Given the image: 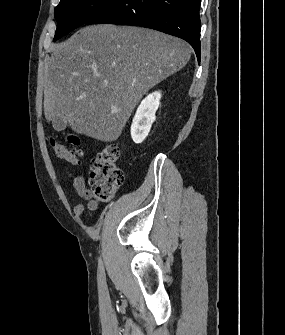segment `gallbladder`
<instances>
[{
  "mask_svg": "<svg viewBox=\"0 0 285 335\" xmlns=\"http://www.w3.org/2000/svg\"><path fill=\"white\" fill-rule=\"evenodd\" d=\"M54 130H57V132H61V130H65L66 124L64 122H61L60 118L58 120H53L52 122Z\"/></svg>",
  "mask_w": 285,
  "mask_h": 335,
  "instance_id": "gallbladder-1",
  "label": "gallbladder"
}]
</instances>
